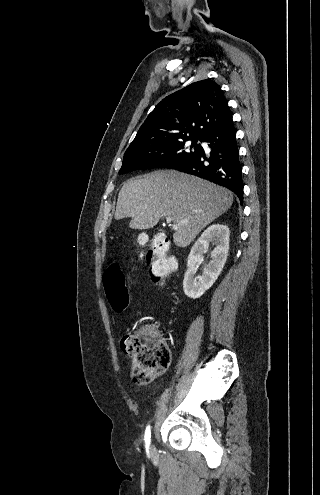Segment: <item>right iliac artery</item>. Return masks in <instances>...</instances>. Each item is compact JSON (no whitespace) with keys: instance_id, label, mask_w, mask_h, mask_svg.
<instances>
[{"instance_id":"obj_1","label":"right iliac artery","mask_w":320,"mask_h":495,"mask_svg":"<svg viewBox=\"0 0 320 495\" xmlns=\"http://www.w3.org/2000/svg\"><path fill=\"white\" fill-rule=\"evenodd\" d=\"M144 439H145L146 449L148 450L151 441V430L149 425L146 427Z\"/></svg>"}]
</instances>
